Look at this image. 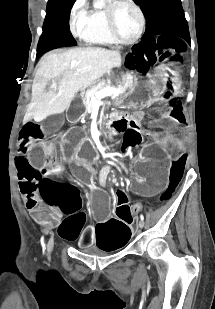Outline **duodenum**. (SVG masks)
I'll use <instances>...</instances> for the list:
<instances>
[{
  "label": "duodenum",
  "instance_id": "duodenum-1",
  "mask_svg": "<svg viewBox=\"0 0 215 309\" xmlns=\"http://www.w3.org/2000/svg\"><path fill=\"white\" fill-rule=\"evenodd\" d=\"M131 123V118L126 114H115L106 120V128L109 132L120 131Z\"/></svg>",
  "mask_w": 215,
  "mask_h": 309
}]
</instances>
